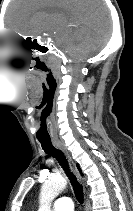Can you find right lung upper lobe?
I'll return each instance as SVG.
<instances>
[{"mask_svg":"<svg viewBox=\"0 0 133 211\" xmlns=\"http://www.w3.org/2000/svg\"><path fill=\"white\" fill-rule=\"evenodd\" d=\"M77 167H78V169H79V171H80V173H81V170H80V168H79V166L77 165ZM82 174V173H81Z\"/></svg>","mask_w":133,"mask_h":211,"instance_id":"cb5924a9","label":"right lung upper lobe"}]
</instances>
